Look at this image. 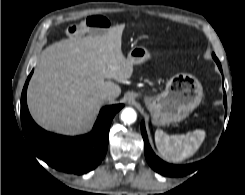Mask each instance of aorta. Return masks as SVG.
I'll use <instances>...</instances> for the list:
<instances>
[{
  "label": "aorta",
  "mask_w": 245,
  "mask_h": 195,
  "mask_svg": "<svg viewBox=\"0 0 245 195\" xmlns=\"http://www.w3.org/2000/svg\"><path fill=\"white\" fill-rule=\"evenodd\" d=\"M137 114L133 108H125L121 113V120L125 124H132L136 121Z\"/></svg>",
  "instance_id": "obj_1"
}]
</instances>
